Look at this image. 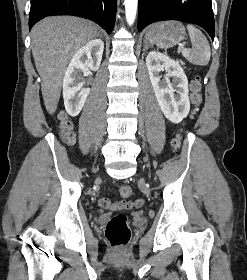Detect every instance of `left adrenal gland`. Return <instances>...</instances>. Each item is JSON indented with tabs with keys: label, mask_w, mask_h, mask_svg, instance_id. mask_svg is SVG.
<instances>
[{
	"label": "left adrenal gland",
	"mask_w": 247,
	"mask_h": 280,
	"mask_svg": "<svg viewBox=\"0 0 247 280\" xmlns=\"http://www.w3.org/2000/svg\"><path fill=\"white\" fill-rule=\"evenodd\" d=\"M149 46H150L149 43H148L146 40H144V48H143V51L147 50Z\"/></svg>",
	"instance_id": "left-adrenal-gland-1"
}]
</instances>
